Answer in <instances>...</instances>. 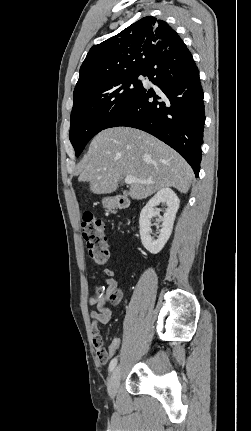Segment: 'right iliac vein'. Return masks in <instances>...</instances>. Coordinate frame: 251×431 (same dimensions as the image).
I'll use <instances>...</instances> for the list:
<instances>
[{"instance_id": "right-iliac-vein-1", "label": "right iliac vein", "mask_w": 251, "mask_h": 431, "mask_svg": "<svg viewBox=\"0 0 251 431\" xmlns=\"http://www.w3.org/2000/svg\"><path fill=\"white\" fill-rule=\"evenodd\" d=\"M121 375H122V371H121L120 366H118L113 371V373L109 379V382H108V393H109L111 398H114L116 393H117L120 379H121Z\"/></svg>"}]
</instances>
